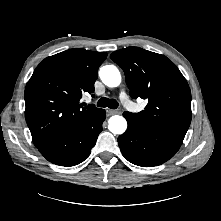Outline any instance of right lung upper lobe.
Masks as SVG:
<instances>
[{
	"mask_svg": "<svg viewBox=\"0 0 221 221\" xmlns=\"http://www.w3.org/2000/svg\"><path fill=\"white\" fill-rule=\"evenodd\" d=\"M107 53L69 49L44 59L28 81L25 118L36 147L72 133L86 118L102 109L80 103L93 93L98 68Z\"/></svg>",
	"mask_w": 221,
	"mask_h": 221,
	"instance_id": "1",
	"label": "right lung upper lobe"
}]
</instances>
